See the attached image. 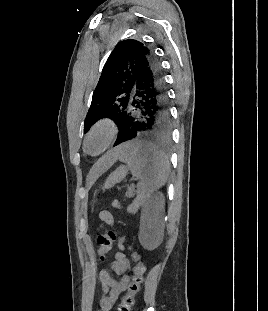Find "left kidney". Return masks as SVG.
Returning <instances> with one entry per match:
<instances>
[{"instance_id":"1","label":"left kidney","mask_w":268,"mask_h":311,"mask_svg":"<svg viewBox=\"0 0 268 311\" xmlns=\"http://www.w3.org/2000/svg\"><path fill=\"white\" fill-rule=\"evenodd\" d=\"M164 197L154 195L142 211L139 229V242L147 250L156 249L163 238Z\"/></svg>"}]
</instances>
